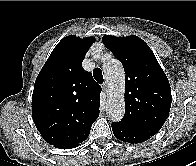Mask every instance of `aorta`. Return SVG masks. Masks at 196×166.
<instances>
[{
	"mask_svg": "<svg viewBox=\"0 0 196 166\" xmlns=\"http://www.w3.org/2000/svg\"><path fill=\"white\" fill-rule=\"evenodd\" d=\"M107 84L106 112L112 121H120L125 113V72L119 60L111 58L103 64Z\"/></svg>",
	"mask_w": 196,
	"mask_h": 166,
	"instance_id": "762f6f07",
	"label": "aorta"
}]
</instances>
